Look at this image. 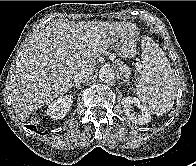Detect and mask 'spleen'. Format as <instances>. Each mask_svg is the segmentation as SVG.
Segmentation results:
<instances>
[{"mask_svg":"<svg viewBox=\"0 0 196 166\" xmlns=\"http://www.w3.org/2000/svg\"><path fill=\"white\" fill-rule=\"evenodd\" d=\"M143 70L137 78V95L151 113L169 112L177 93L176 77L162 49L149 37L142 42Z\"/></svg>","mask_w":196,"mask_h":166,"instance_id":"spleen-1","label":"spleen"}]
</instances>
